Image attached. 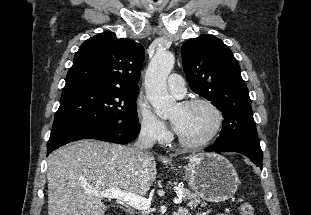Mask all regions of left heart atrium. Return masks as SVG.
Instances as JSON below:
<instances>
[{
	"mask_svg": "<svg viewBox=\"0 0 311 215\" xmlns=\"http://www.w3.org/2000/svg\"><path fill=\"white\" fill-rule=\"evenodd\" d=\"M174 129L178 132V124L177 123H174Z\"/></svg>",
	"mask_w": 311,
	"mask_h": 215,
	"instance_id": "1",
	"label": "left heart atrium"
}]
</instances>
